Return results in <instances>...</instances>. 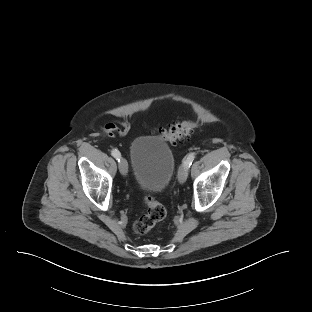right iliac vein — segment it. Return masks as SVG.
Segmentation results:
<instances>
[{
    "mask_svg": "<svg viewBox=\"0 0 312 312\" xmlns=\"http://www.w3.org/2000/svg\"><path fill=\"white\" fill-rule=\"evenodd\" d=\"M119 170L122 175H126L128 172V164L124 158H121L118 163Z\"/></svg>",
    "mask_w": 312,
    "mask_h": 312,
    "instance_id": "obj_1",
    "label": "right iliac vein"
}]
</instances>
